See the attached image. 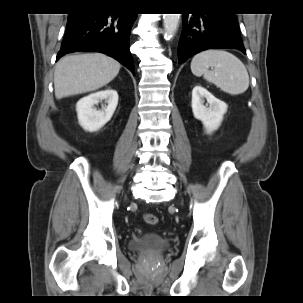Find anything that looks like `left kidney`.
I'll list each match as a JSON object with an SVG mask.
<instances>
[{"mask_svg": "<svg viewBox=\"0 0 303 303\" xmlns=\"http://www.w3.org/2000/svg\"><path fill=\"white\" fill-rule=\"evenodd\" d=\"M205 99L207 106L204 105ZM192 111L194 117L202 121L206 132L210 134L220 126L227 111V104L201 85H196L192 90Z\"/></svg>", "mask_w": 303, "mask_h": 303, "instance_id": "5707ae66", "label": "left kidney"}]
</instances>
